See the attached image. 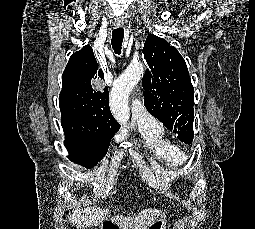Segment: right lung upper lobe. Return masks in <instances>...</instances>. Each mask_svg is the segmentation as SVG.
<instances>
[{"mask_svg": "<svg viewBox=\"0 0 255 229\" xmlns=\"http://www.w3.org/2000/svg\"><path fill=\"white\" fill-rule=\"evenodd\" d=\"M99 78L104 79V74L98 70L89 45L70 57L62 74L59 97L65 135L112 138L120 128L110 111L108 88L99 91L92 87Z\"/></svg>", "mask_w": 255, "mask_h": 229, "instance_id": "1", "label": "right lung upper lobe"}]
</instances>
